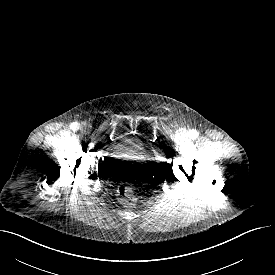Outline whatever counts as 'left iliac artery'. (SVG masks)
Masks as SVG:
<instances>
[{
	"mask_svg": "<svg viewBox=\"0 0 275 275\" xmlns=\"http://www.w3.org/2000/svg\"><path fill=\"white\" fill-rule=\"evenodd\" d=\"M189 136L193 139V138H196L198 137V132L196 130H191L189 132Z\"/></svg>",
	"mask_w": 275,
	"mask_h": 275,
	"instance_id": "1",
	"label": "left iliac artery"
}]
</instances>
